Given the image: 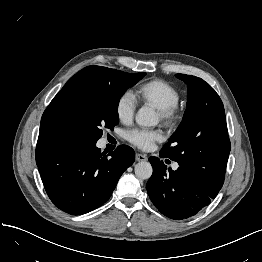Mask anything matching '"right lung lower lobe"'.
<instances>
[{"mask_svg":"<svg viewBox=\"0 0 262 262\" xmlns=\"http://www.w3.org/2000/svg\"><path fill=\"white\" fill-rule=\"evenodd\" d=\"M36 163L45 190L59 209L82 215L104 204L135 153L121 145L108 155L80 138L43 132L36 146Z\"/></svg>","mask_w":262,"mask_h":262,"instance_id":"right-lung-lower-lobe-1","label":"right lung lower lobe"}]
</instances>
